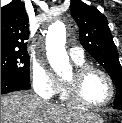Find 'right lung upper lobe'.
I'll list each match as a JSON object with an SVG mask.
<instances>
[{
	"instance_id": "1",
	"label": "right lung upper lobe",
	"mask_w": 122,
	"mask_h": 123,
	"mask_svg": "<svg viewBox=\"0 0 122 123\" xmlns=\"http://www.w3.org/2000/svg\"><path fill=\"white\" fill-rule=\"evenodd\" d=\"M28 15L24 4L14 0L1 7V51L27 52Z\"/></svg>"
}]
</instances>
